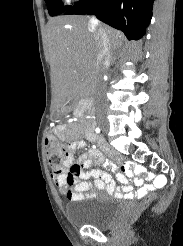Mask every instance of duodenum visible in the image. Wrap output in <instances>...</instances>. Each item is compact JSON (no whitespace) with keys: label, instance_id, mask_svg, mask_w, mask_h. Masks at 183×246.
Returning a JSON list of instances; mask_svg holds the SVG:
<instances>
[{"label":"duodenum","instance_id":"obj_1","mask_svg":"<svg viewBox=\"0 0 183 246\" xmlns=\"http://www.w3.org/2000/svg\"><path fill=\"white\" fill-rule=\"evenodd\" d=\"M74 107V106H73ZM76 108L72 111V116H79L80 113H84L85 109L83 108V104H76ZM86 107V106H85ZM87 137L90 138L91 141H96V144H99V147L102 148L103 151H108L109 147L106 146L103 139H100V136L97 133H88Z\"/></svg>","mask_w":183,"mask_h":246}]
</instances>
